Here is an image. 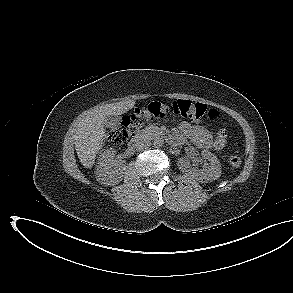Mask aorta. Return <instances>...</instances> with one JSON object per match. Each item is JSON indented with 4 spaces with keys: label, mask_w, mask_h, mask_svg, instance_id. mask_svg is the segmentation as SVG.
I'll return each mask as SVG.
<instances>
[{
    "label": "aorta",
    "mask_w": 293,
    "mask_h": 293,
    "mask_svg": "<svg viewBox=\"0 0 293 293\" xmlns=\"http://www.w3.org/2000/svg\"><path fill=\"white\" fill-rule=\"evenodd\" d=\"M153 145L156 148H160V147H162L164 145V140L162 138H157V139L154 140Z\"/></svg>",
    "instance_id": "aorta-1"
}]
</instances>
